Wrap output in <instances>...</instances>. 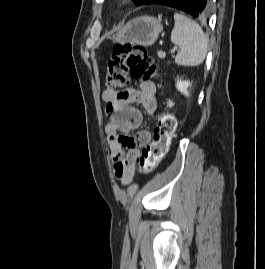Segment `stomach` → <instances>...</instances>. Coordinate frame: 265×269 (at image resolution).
Listing matches in <instances>:
<instances>
[{
    "label": "stomach",
    "mask_w": 265,
    "mask_h": 269,
    "mask_svg": "<svg viewBox=\"0 0 265 269\" xmlns=\"http://www.w3.org/2000/svg\"><path fill=\"white\" fill-rule=\"evenodd\" d=\"M163 29L160 19L151 16L137 17L126 23L112 39L120 44L130 43L144 47L151 46Z\"/></svg>",
    "instance_id": "stomach-1"
}]
</instances>
